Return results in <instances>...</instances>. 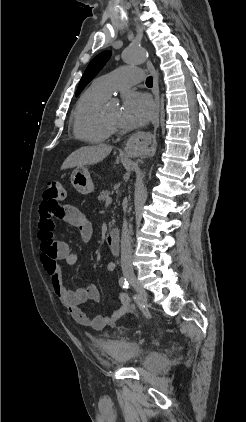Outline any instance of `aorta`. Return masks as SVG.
Wrapping results in <instances>:
<instances>
[{
  "instance_id": "obj_1",
  "label": "aorta",
  "mask_w": 246,
  "mask_h": 422,
  "mask_svg": "<svg viewBox=\"0 0 246 422\" xmlns=\"http://www.w3.org/2000/svg\"><path fill=\"white\" fill-rule=\"evenodd\" d=\"M123 59L126 63L138 64L143 63L146 58V50L141 46H130L122 53Z\"/></svg>"
}]
</instances>
